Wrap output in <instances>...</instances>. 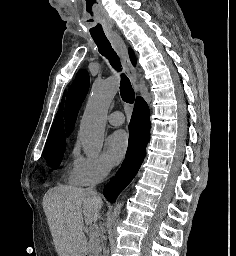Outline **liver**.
<instances>
[{
	"instance_id": "6515ba94",
	"label": "liver",
	"mask_w": 236,
	"mask_h": 256,
	"mask_svg": "<svg viewBox=\"0 0 236 256\" xmlns=\"http://www.w3.org/2000/svg\"><path fill=\"white\" fill-rule=\"evenodd\" d=\"M102 200L87 194L84 188L56 186L43 198V210L58 256H85V224L97 222Z\"/></svg>"
}]
</instances>
